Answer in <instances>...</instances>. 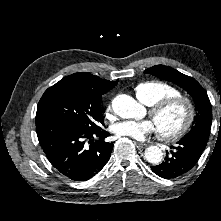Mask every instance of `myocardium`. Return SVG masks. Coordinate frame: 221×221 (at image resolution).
I'll use <instances>...</instances> for the list:
<instances>
[{
    "instance_id": "myocardium-1",
    "label": "myocardium",
    "mask_w": 221,
    "mask_h": 221,
    "mask_svg": "<svg viewBox=\"0 0 221 221\" xmlns=\"http://www.w3.org/2000/svg\"><path fill=\"white\" fill-rule=\"evenodd\" d=\"M175 105H179L182 107L184 112V118L180 126L171 132H164L156 126L158 136L164 141H177L189 131L195 117L194 104L189 98L179 95L160 100L154 105H152L149 110V115L155 122L158 116L164 110Z\"/></svg>"
}]
</instances>
